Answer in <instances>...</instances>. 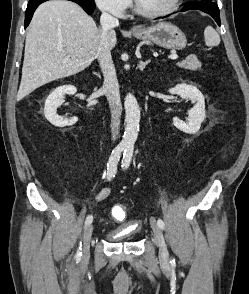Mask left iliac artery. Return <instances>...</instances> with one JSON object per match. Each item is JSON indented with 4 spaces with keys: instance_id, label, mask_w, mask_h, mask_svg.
I'll list each match as a JSON object with an SVG mask.
<instances>
[{
    "instance_id": "obj_1",
    "label": "left iliac artery",
    "mask_w": 249,
    "mask_h": 294,
    "mask_svg": "<svg viewBox=\"0 0 249 294\" xmlns=\"http://www.w3.org/2000/svg\"><path fill=\"white\" fill-rule=\"evenodd\" d=\"M133 150H134L133 145H128L126 147L124 154H123V160H122V165H121L123 167V169L128 168V166L132 160ZM157 224L161 229L165 228V224L162 219H158ZM170 262L174 263V260L172 259Z\"/></svg>"
}]
</instances>
